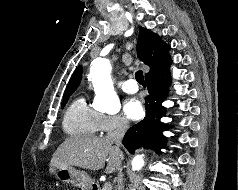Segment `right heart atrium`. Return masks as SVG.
I'll list each match as a JSON object with an SVG mask.
<instances>
[{"label":"right heart atrium","instance_id":"d8ad5b80","mask_svg":"<svg viewBox=\"0 0 238 190\" xmlns=\"http://www.w3.org/2000/svg\"><path fill=\"white\" fill-rule=\"evenodd\" d=\"M129 125L128 118L123 114H100V131L103 133L124 131Z\"/></svg>","mask_w":238,"mask_h":190}]
</instances>
